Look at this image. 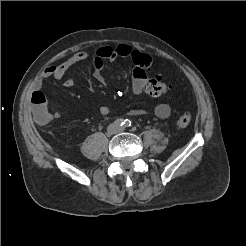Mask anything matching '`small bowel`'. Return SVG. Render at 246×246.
Listing matches in <instances>:
<instances>
[{"label": "small bowel", "mask_w": 246, "mask_h": 246, "mask_svg": "<svg viewBox=\"0 0 246 246\" xmlns=\"http://www.w3.org/2000/svg\"><path fill=\"white\" fill-rule=\"evenodd\" d=\"M134 51V49L128 45V44H120L116 47H110V46H104L99 49H97L94 53H88L86 51H80L74 53L72 56L64 60L58 65H52L46 67L39 77L36 79L34 83V92H39L40 94L43 95V97L46 100V106L48 110V115L47 118L44 122H39L41 124H46L55 120H58L61 116L62 113L53 110L45 95L41 91L44 82L48 79H56L60 80L64 77V75L67 73L69 69H71L73 66L76 64L86 61V60H92L94 65H95V71H94V76L97 81L100 83L104 82V77L102 74V66L104 61H112L117 58H131V54ZM148 79L146 72H140L136 67L133 70L132 74V90L134 94L140 95L144 92V84L145 81ZM74 81L71 77H68L64 80V85L66 87H71L73 86ZM33 92V93H34ZM99 112L102 116H107L110 114L111 110L107 106H101L99 109ZM145 110H132L130 112L131 115H142L145 114ZM171 113L170 106L166 103H159L155 106L154 108V114L159 117V118H167Z\"/></svg>", "instance_id": "c3829d8e"}]
</instances>
